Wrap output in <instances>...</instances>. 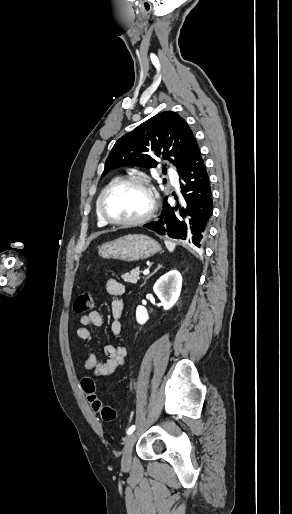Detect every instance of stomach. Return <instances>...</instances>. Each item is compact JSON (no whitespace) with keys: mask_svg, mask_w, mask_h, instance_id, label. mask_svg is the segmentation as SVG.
Here are the masks:
<instances>
[{"mask_svg":"<svg viewBox=\"0 0 292 514\" xmlns=\"http://www.w3.org/2000/svg\"><path fill=\"white\" fill-rule=\"evenodd\" d=\"M161 246L158 242L143 236V234H128L117 238L113 242H106L99 248V256L106 260H124V262H136V260H145L154 256L156 252H160Z\"/></svg>","mask_w":292,"mask_h":514,"instance_id":"stomach-1","label":"stomach"}]
</instances>
